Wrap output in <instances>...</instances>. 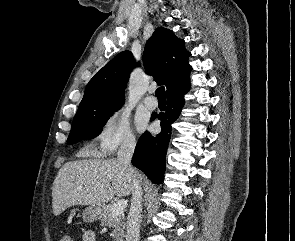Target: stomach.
Segmentation results:
<instances>
[{
	"label": "stomach",
	"instance_id": "1",
	"mask_svg": "<svg viewBox=\"0 0 295 241\" xmlns=\"http://www.w3.org/2000/svg\"><path fill=\"white\" fill-rule=\"evenodd\" d=\"M105 206L101 204H92L86 207L82 212L85 222H94L100 219L104 213Z\"/></svg>",
	"mask_w": 295,
	"mask_h": 241
}]
</instances>
